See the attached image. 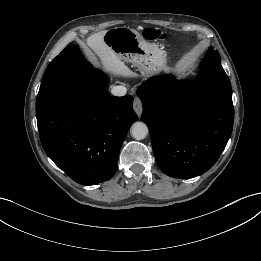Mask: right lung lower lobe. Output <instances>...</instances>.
<instances>
[{"label": "right lung lower lobe", "mask_w": 261, "mask_h": 261, "mask_svg": "<svg viewBox=\"0 0 261 261\" xmlns=\"http://www.w3.org/2000/svg\"><path fill=\"white\" fill-rule=\"evenodd\" d=\"M108 80L96 69L68 79L36 104L46 154L79 184L109 180L121 145L136 121L131 96L109 97Z\"/></svg>", "instance_id": "obj_1"}]
</instances>
